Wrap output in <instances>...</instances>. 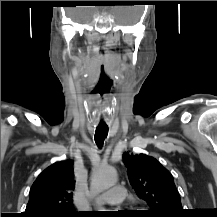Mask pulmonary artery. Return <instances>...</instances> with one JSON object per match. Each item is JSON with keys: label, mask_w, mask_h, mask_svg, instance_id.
I'll list each match as a JSON object with an SVG mask.
<instances>
[{"label": "pulmonary artery", "mask_w": 217, "mask_h": 217, "mask_svg": "<svg viewBox=\"0 0 217 217\" xmlns=\"http://www.w3.org/2000/svg\"><path fill=\"white\" fill-rule=\"evenodd\" d=\"M126 197V190L123 186L116 185L109 191L101 194L97 198V202L100 204L116 205L124 202Z\"/></svg>", "instance_id": "pulmonary-artery-1"}]
</instances>
